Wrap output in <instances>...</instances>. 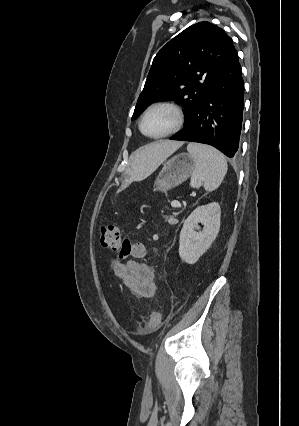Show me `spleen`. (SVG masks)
I'll list each match as a JSON object with an SVG mask.
<instances>
[{
    "label": "spleen",
    "mask_w": 299,
    "mask_h": 426,
    "mask_svg": "<svg viewBox=\"0 0 299 426\" xmlns=\"http://www.w3.org/2000/svg\"><path fill=\"white\" fill-rule=\"evenodd\" d=\"M187 151L196 163L190 185L194 188L203 185L207 191L217 189L228 169L224 155L213 147L198 143L188 144Z\"/></svg>",
    "instance_id": "3e777b00"
}]
</instances>
